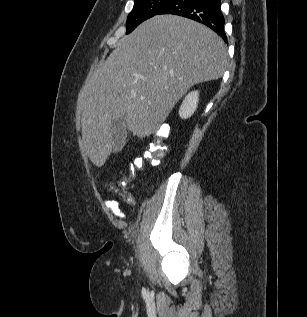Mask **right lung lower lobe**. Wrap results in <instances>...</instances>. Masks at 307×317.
<instances>
[{
    "mask_svg": "<svg viewBox=\"0 0 307 317\" xmlns=\"http://www.w3.org/2000/svg\"><path fill=\"white\" fill-rule=\"evenodd\" d=\"M221 0H172L159 14H173L200 22L227 41Z\"/></svg>",
    "mask_w": 307,
    "mask_h": 317,
    "instance_id": "right-lung-lower-lobe-1",
    "label": "right lung lower lobe"
}]
</instances>
